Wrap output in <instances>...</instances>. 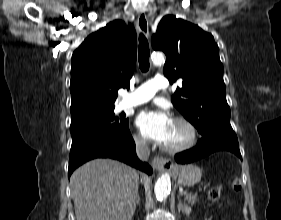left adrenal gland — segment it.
Returning a JSON list of instances; mask_svg holds the SVG:
<instances>
[{"mask_svg": "<svg viewBox=\"0 0 281 220\" xmlns=\"http://www.w3.org/2000/svg\"><path fill=\"white\" fill-rule=\"evenodd\" d=\"M180 197H181V194H179V196H178V201H179V203H178V211H179V212L182 211V212H184L186 215H189L188 206H187L185 203H182Z\"/></svg>", "mask_w": 281, "mask_h": 220, "instance_id": "obj_1", "label": "left adrenal gland"}]
</instances>
